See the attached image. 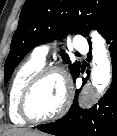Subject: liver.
Listing matches in <instances>:
<instances>
[{"mask_svg": "<svg viewBox=\"0 0 117 136\" xmlns=\"http://www.w3.org/2000/svg\"><path fill=\"white\" fill-rule=\"evenodd\" d=\"M4 136H42L38 131H32L24 128L9 129Z\"/></svg>", "mask_w": 117, "mask_h": 136, "instance_id": "liver-1", "label": "liver"}]
</instances>
